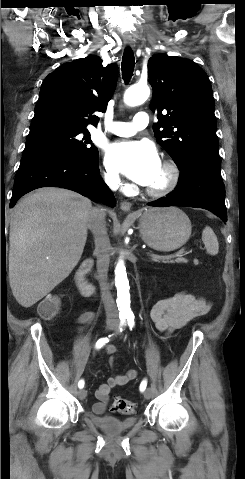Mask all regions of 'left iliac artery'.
I'll use <instances>...</instances> for the list:
<instances>
[{
	"instance_id": "1",
	"label": "left iliac artery",
	"mask_w": 245,
	"mask_h": 479,
	"mask_svg": "<svg viewBox=\"0 0 245 479\" xmlns=\"http://www.w3.org/2000/svg\"><path fill=\"white\" fill-rule=\"evenodd\" d=\"M134 315L133 314H130V315H127V321H128V325L130 327V329H132L134 327ZM146 386H147V381L146 380H143L140 384V391H144L146 389Z\"/></svg>"
}]
</instances>
